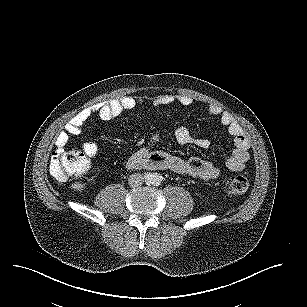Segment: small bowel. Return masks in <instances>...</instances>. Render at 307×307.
Masks as SVG:
<instances>
[{
  "mask_svg": "<svg viewBox=\"0 0 307 307\" xmlns=\"http://www.w3.org/2000/svg\"><path fill=\"white\" fill-rule=\"evenodd\" d=\"M142 102V100L137 101L133 97L125 96L109 102L98 103L81 110L66 123L57 135L55 140V153L64 152L70 138L82 133L85 123L92 115L98 114L103 120H111L124 111L132 110L137 104H141ZM174 103L189 106L192 103V99L185 95H163L156 98L152 102V105L161 107ZM207 112L210 116L218 118L233 138L235 148L226 160V167L233 172L242 171L250 157L249 151L251 145L247 135L230 112L224 111L213 104L207 107ZM158 138L159 131L153 132L151 142L157 141ZM175 138L180 144H191L202 149L210 146L208 139L193 136L185 127H179L175 130ZM83 151L91 159L97 155L98 147L94 142H87L83 145ZM127 166L131 169L143 167L161 170L168 169L179 174L201 179L216 178L221 172V168L218 165L209 161L197 157L184 160L164 152H152L146 146L138 149L128 158Z\"/></svg>",
  "mask_w": 307,
  "mask_h": 307,
  "instance_id": "small-bowel-1",
  "label": "small bowel"
}]
</instances>
